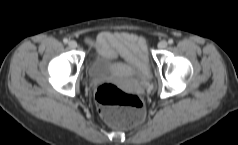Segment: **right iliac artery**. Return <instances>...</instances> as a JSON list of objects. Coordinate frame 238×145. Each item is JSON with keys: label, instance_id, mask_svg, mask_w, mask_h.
<instances>
[{"label": "right iliac artery", "instance_id": "82829eb1", "mask_svg": "<svg viewBox=\"0 0 238 145\" xmlns=\"http://www.w3.org/2000/svg\"><path fill=\"white\" fill-rule=\"evenodd\" d=\"M63 42H64L65 44H67V43H68V39H67V38H64V39H63Z\"/></svg>", "mask_w": 238, "mask_h": 145}]
</instances>
